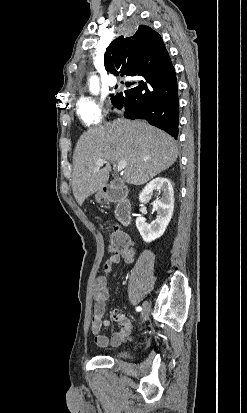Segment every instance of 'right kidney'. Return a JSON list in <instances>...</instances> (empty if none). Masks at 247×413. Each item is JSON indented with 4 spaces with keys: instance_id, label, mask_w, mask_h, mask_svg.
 I'll use <instances>...</instances> for the list:
<instances>
[{
    "instance_id": "right-kidney-1",
    "label": "right kidney",
    "mask_w": 247,
    "mask_h": 413,
    "mask_svg": "<svg viewBox=\"0 0 247 413\" xmlns=\"http://www.w3.org/2000/svg\"><path fill=\"white\" fill-rule=\"evenodd\" d=\"M153 190H161V198L155 200V209L157 211V217L152 223H146L144 217H137L135 223L136 227L145 243H151L155 239H159L165 229H167L174 211V190L169 178H163V176H157L150 180L142 192L139 194L140 202L146 204L150 200V192Z\"/></svg>"
}]
</instances>
